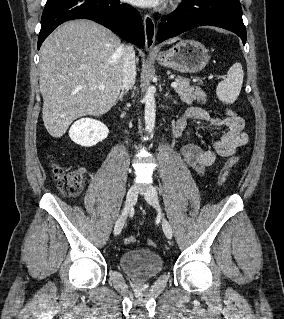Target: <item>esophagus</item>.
Instances as JSON below:
<instances>
[{
  "label": "esophagus",
  "instance_id": "34e87169",
  "mask_svg": "<svg viewBox=\"0 0 284 319\" xmlns=\"http://www.w3.org/2000/svg\"><path fill=\"white\" fill-rule=\"evenodd\" d=\"M144 32H145V49L146 51L153 52L156 51L155 47V36H156V26L154 19L145 14L143 17Z\"/></svg>",
  "mask_w": 284,
  "mask_h": 319
}]
</instances>
